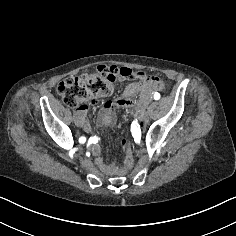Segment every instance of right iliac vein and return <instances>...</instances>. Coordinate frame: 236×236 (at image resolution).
Here are the masks:
<instances>
[{"label":"right iliac vein","mask_w":236,"mask_h":236,"mask_svg":"<svg viewBox=\"0 0 236 236\" xmlns=\"http://www.w3.org/2000/svg\"><path fill=\"white\" fill-rule=\"evenodd\" d=\"M83 132H88V127H83Z\"/></svg>","instance_id":"1"}]
</instances>
